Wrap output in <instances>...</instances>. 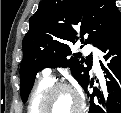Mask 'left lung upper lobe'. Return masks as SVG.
Returning a JSON list of instances; mask_svg holds the SVG:
<instances>
[{
  "label": "left lung upper lobe",
  "instance_id": "left-lung-upper-lobe-1",
  "mask_svg": "<svg viewBox=\"0 0 121 113\" xmlns=\"http://www.w3.org/2000/svg\"><path fill=\"white\" fill-rule=\"evenodd\" d=\"M120 17L115 0H42L29 20V31L23 39L22 101H27L37 72L45 67H69L84 88L89 81L92 55L80 61V56L74 54L69 59L70 43L79 39L80 31L82 44L91 43L99 48Z\"/></svg>",
  "mask_w": 121,
  "mask_h": 113
}]
</instances>
